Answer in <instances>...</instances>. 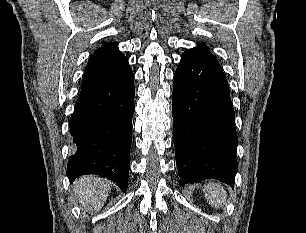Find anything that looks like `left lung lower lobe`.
I'll return each mask as SVG.
<instances>
[{
  "label": "left lung lower lobe",
  "mask_w": 306,
  "mask_h": 233,
  "mask_svg": "<svg viewBox=\"0 0 306 233\" xmlns=\"http://www.w3.org/2000/svg\"><path fill=\"white\" fill-rule=\"evenodd\" d=\"M172 112L180 185L212 177L233 186L238 168L235 113L213 55L183 53L174 74Z\"/></svg>",
  "instance_id": "obj_1"
}]
</instances>
